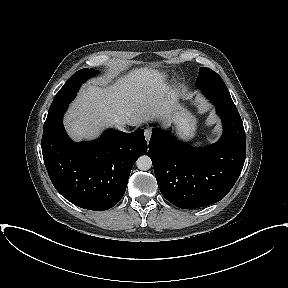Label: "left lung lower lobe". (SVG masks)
Masks as SVG:
<instances>
[{"label":"left lung lower lobe","mask_w":288,"mask_h":288,"mask_svg":"<svg viewBox=\"0 0 288 288\" xmlns=\"http://www.w3.org/2000/svg\"><path fill=\"white\" fill-rule=\"evenodd\" d=\"M211 102L224 128L217 143L193 148L159 129L153 130L149 142L148 156L162 195L183 209L208 206L223 199L245 162V131L236 106Z\"/></svg>","instance_id":"0a47b994"}]
</instances>
